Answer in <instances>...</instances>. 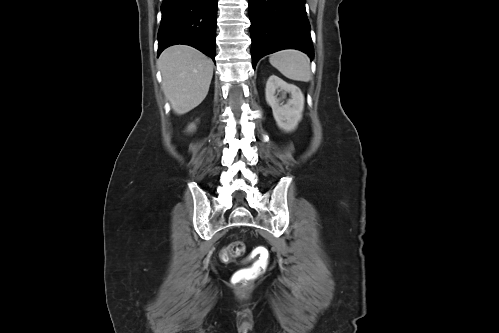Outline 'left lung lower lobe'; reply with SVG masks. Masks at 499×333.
Masks as SVG:
<instances>
[{"label": "left lung lower lobe", "instance_id": "obj_1", "mask_svg": "<svg viewBox=\"0 0 499 333\" xmlns=\"http://www.w3.org/2000/svg\"><path fill=\"white\" fill-rule=\"evenodd\" d=\"M249 18L253 68L263 56L283 49L314 57L305 0H249Z\"/></svg>", "mask_w": 499, "mask_h": 333}]
</instances>
